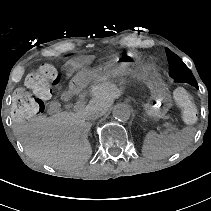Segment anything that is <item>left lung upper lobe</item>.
Here are the masks:
<instances>
[{"label":"left lung upper lobe","mask_w":211,"mask_h":211,"mask_svg":"<svg viewBox=\"0 0 211 211\" xmlns=\"http://www.w3.org/2000/svg\"><path fill=\"white\" fill-rule=\"evenodd\" d=\"M165 50L169 62V76L176 82H185L198 88L197 81L191 70L170 49L166 48Z\"/></svg>","instance_id":"5c2ea615"}]
</instances>
